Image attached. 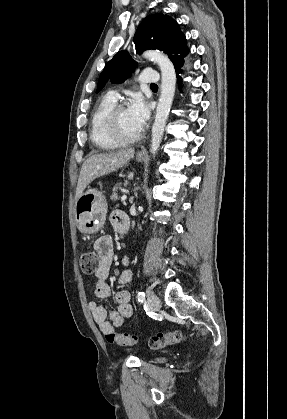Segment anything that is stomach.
<instances>
[{
    "instance_id": "stomach-1",
    "label": "stomach",
    "mask_w": 287,
    "mask_h": 419,
    "mask_svg": "<svg viewBox=\"0 0 287 419\" xmlns=\"http://www.w3.org/2000/svg\"><path fill=\"white\" fill-rule=\"evenodd\" d=\"M141 162L142 156L136 157ZM107 202L101 192L88 188L75 204V220L84 234H96L105 224Z\"/></svg>"
}]
</instances>
